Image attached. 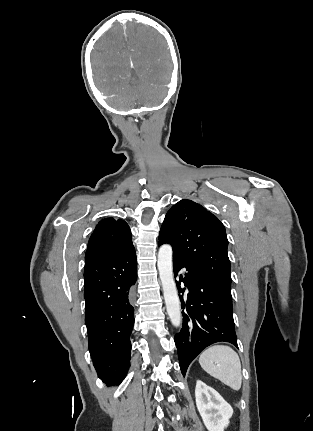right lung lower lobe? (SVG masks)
Segmentation results:
<instances>
[{
	"mask_svg": "<svg viewBox=\"0 0 313 431\" xmlns=\"http://www.w3.org/2000/svg\"><path fill=\"white\" fill-rule=\"evenodd\" d=\"M84 279L85 323L93 364L103 382L120 383L130 366L131 287L137 279L134 246L86 262Z\"/></svg>",
	"mask_w": 313,
	"mask_h": 431,
	"instance_id": "right-lung-lower-lobe-1",
	"label": "right lung lower lobe"
}]
</instances>
